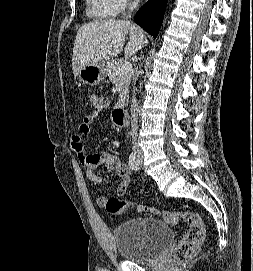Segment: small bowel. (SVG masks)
Masks as SVG:
<instances>
[{"mask_svg": "<svg viewBox=\"0 0 253 271\" xmlns=\"http://www.w3.org/2000/svg\"><path fill=\"white\" fill-rule=\"evenodd\" d=\"M98 117L99 113L92 112L82 118L77 133L70 136V148L86 168L87 178L93 185L99 186L103 182L101 176L96 172L98 167H106L110 170L116 171L120 177V181L116 189V195L122 196L128 190L131 182L130 166L122 164L115 155L109 152L101 151L92 154H85L83 150L81 135H89L91 133L92 124L98 119ZM108 199L109 197L107 195H100L97 198V203L99 206L103 207V204Z\"/></svg>", "mask_w": 253, "mask_h": 271, "instance_id": "1", "label": "small bowel"}]
</instances>
